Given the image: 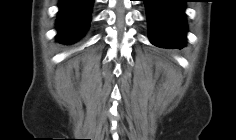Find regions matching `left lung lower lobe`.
Returning <instances> with one entry per match:
<instances>
[{
	"instance_id": "0a47b994",
	"label": "left lung lower lobe",
	"mask_w": 236,
	"mask_h": 140,
	"mask_svg": "<svg viewBox=\"0 0 236 140\" xmlns=\"http://www.w3.org/2000/svg\"><path fill=\"white\" fill-rule=\"evenodd\" d=\"M186 0H144L150 42L162 48L181 49L186 40Z\"/></svg>"
}]
</instances>
